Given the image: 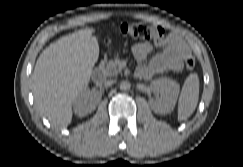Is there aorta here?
I'll list each match as a JSON object with an SVG mask.
<instances>
[{"instance_id": "obj_1", "label": "aorta", "mask_w": 243, "mask_h": 167, "mask_svg": "<svg viewBox=\"0 0 243 167\" xmlns=\"http://www.w3.org/2000/svg\"><path fill=\"white\" fill-rule=\"evenodd\" d=\"M131 88V84H130V82H128V81H122L121 83H120V89L121 90H123V91H127V90H129Z\"/></svg>"}]
</instances>
